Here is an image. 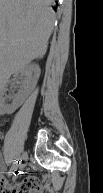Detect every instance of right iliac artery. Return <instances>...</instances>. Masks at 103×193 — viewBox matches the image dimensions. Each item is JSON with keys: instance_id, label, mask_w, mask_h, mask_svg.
<instances>
[{"instance_id": "82829eb1", "label": "right iliac artery", "mask_w": 103, "mask_h": 193, "mask_svg": "<svg viewBox=\"0 0 103 193\" xmlns=\"http://www.w3.org/2000/svg\"><path fill=\"white\" fill-rule=\"evenodd\" d=\"M20 161H21V158L19 156L14 160L12 167H11L10 171L8 172L9 176H11V174H13L17 170L18 164H20Z\"/></svg>"}]
</instances>
